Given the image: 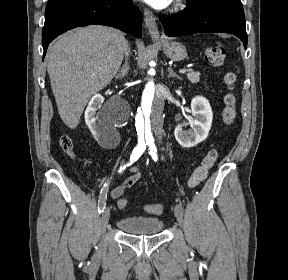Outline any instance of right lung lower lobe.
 Listing matches in <instances>:
<instances>
[{
	"instance_id": "1",
	"label": "right lung lower lobe",
	"mask_w": 288,
	"mask_h": 280,
	"mask_svg": "<svg viewBox=\"0 0 288 280\" xmlns=\"http://www.w3.org/2000/svg\"><path fill=\"white\" fill-rule=\"evenodd\" d=\"M91 24L113 26L140 38L142 15L132 0H49L42 30L44 56L57 36Z\"/></svg>"
}]
</instances>
